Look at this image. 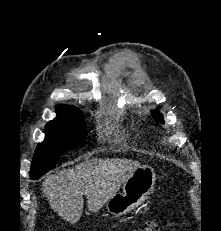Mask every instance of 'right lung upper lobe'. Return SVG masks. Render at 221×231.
Segmentation results:
<instances>
[{
  "mask_svg": "<svg viewBox=\"0 0 221 231\" xmlns=\"http://www.w3.org/2000/svg\"><path fill=\"white\" fill-rule=\"evenodd\" d=\"M56 111L57 115L62 117H76L82 115L77 108L69 105H58Z\"/></svg>",
  "mask_w": 221,
  "mask_h": 231,
  "instance_id": "obj_1",
  "label": "right lung upper lobe"
}]
</instances>
